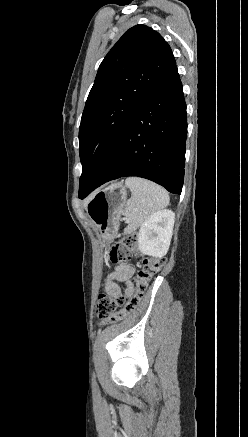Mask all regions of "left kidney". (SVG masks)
Instances as JSON below:
<instances>
[{
    "label": "left kidney",
    "instance_id": "left-kidney-1",
    "mask_svg": "<svg viewBox=\"0 0 248 437\" xmlns=\"http://www.w3.org/2000/svg\"><path fill=\"white\" fill-rule=\"evenodd\" d=\"M175 214L171 210H161L152 214L141 226L138 233L140 251L156 258H162L168 252Z\"/></svg>",
    "mask_w": 248,
    "mask_h": 437
}]
</instances>
